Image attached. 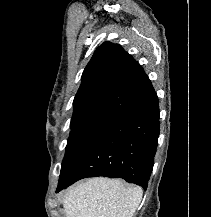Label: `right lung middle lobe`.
I'll list each match as a JSON object with an SVG mask.
<instances>
[{
    "label": "right lung middle lobe",
    "mask_w": 211,
    "mask_h": 217,
    "mask_svg": "<svg viewBox=\"0 0 211 217\" xmlns=\"http://www.w3.org/2000/svg\"><path fill=\"white\" fill-rule=\"evenodd\" d=\"M115 118L116 116L110 114H97L71 120V133L61 166L60 179L70 172L79 158Z\"/></svg>",
    "instance_id": "right-lung-middle-lobe-1"
}]
</instances>
